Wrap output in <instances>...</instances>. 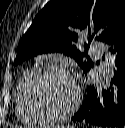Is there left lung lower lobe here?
Returning a JSON list of instances; mask_svg holds the SVG:
<instances>
[{"label":"left lung lower lobe","instance_id":"1","mask_svg":"<svg viewBox=\"0 0 125 128\" xmlns=\"http://www.w3.org/2000/svg\"><path fill=\"white\" fill-rule=\"evenodd\" d=\"M109 49L116 54L113 78L109 88L100 90L101 97L97 99V89L91 85L72 121H86L93 125L108 128H124L125 126V25L108 42ZM105 57V55H104ZM103 57V58H104ZM88 71L84 72L87 74Z\"/></svg>","mask_w":125,"mask_h":128}]
</instances>
